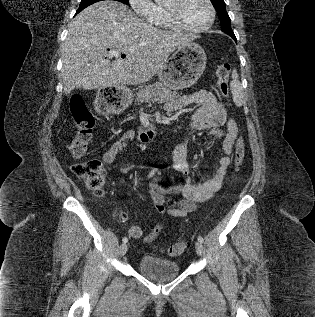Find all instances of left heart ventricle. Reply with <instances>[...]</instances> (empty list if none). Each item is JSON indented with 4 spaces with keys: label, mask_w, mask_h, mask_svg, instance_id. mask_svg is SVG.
Wrapping results in <instances>:
<instances>
[{
    "label": "left heart ventricle",
    "mask_w": 315,
    "mask_h": 317,
    "mask_svg": "<svg viewBox=\"0 0 315 317\" xmlns=\"http://www.w3.org/2000/svg\"><path fill=\"white\" fill-rule=\"evenodd\" d=\"M179 16L186 25L201 27L209 20V9L204 0H182Z\"/></svg>",
    "instance_id": "obj_1"
}]
</instances>
